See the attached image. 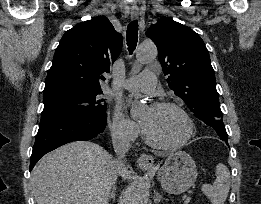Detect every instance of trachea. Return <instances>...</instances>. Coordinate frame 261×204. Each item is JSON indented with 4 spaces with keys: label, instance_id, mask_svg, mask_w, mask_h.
I'll use <instances>...</instances> for the list:
<instances>
[{
    "label": "trachea",
    "instance_id": "trachea-1",
    "mask_svg": "<svg viewBox=\"0 0 261 204\" xmlns=\"http://www.w3.org/2000/svg\"><path fill=\"white\" fill-rule=\"evenodd\" d=\"M138 42V22L132 21L127 27V45L130 54L135 50Z\"/></svg>",
    "mask_w": 261,
    "mask_h": 204
}]
</instances>
